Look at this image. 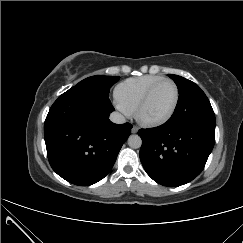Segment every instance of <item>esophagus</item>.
<instances>
[{
  "mask_svg": "<svg viewBox=\"0 0 243 243\" xmlns=\"http://www.w3.org/2000/svg\"><path fill=\"white\" fill-rule=\"evenodd\" d=\"M131 132L132 133H137L138 132V128L136 126H133L132 129H131Z\"/></svg>",
  "mask_w": 243,
  "mask_h": 243,
  "instance_id": "esophagus-1",
  "label": "esophagus"
}]
</instances>
